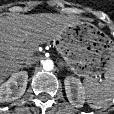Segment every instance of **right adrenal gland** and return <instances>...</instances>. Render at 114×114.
I'll list each match as a JSON object with an SVG mask.
<instances>
[{"label":"right adrenal gland","instance_id":"right-adrenal-gland-1","mask_svg":"<svg viewBox=\"0 0 114 114\" xmlns=\"http://www.w3.org/2000/svg\"><path fill=\"white\" fill-rule=\"evenodd\" d=\"M27 66L26 65H24L22 68H26Z\"/></svg>","mask_w":114,"mask_h":114}]
</instances>
